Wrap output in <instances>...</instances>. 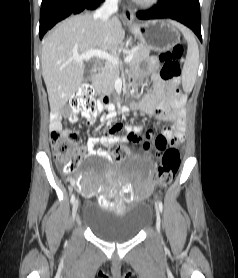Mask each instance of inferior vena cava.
<instances>
[{
    "instance_id": "602c4592",
    "label": "inferior vena cava",
    "mask_w": 238,
    "mask_h": 278,
    "mask_svg": "<svg viewBox=\"0 0 238 278\" xmlns=\"http://www.w3.org/2000/svg\"><path fill=\"white\" fill-rule=\"evenodd\" d=\"M117 10L118 0H105L104 4L96 10L95 17L105 23L110 15L117 12Z\"/></svg>"
}]
</instances>
